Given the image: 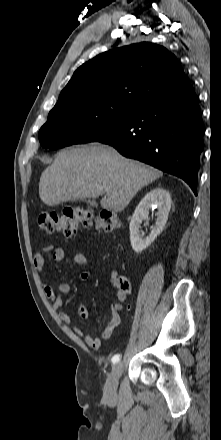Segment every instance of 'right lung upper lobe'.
<instances>
[{
  "mask_svg": "<svg viewBox=\"0 0 221 440\" xmlns=\"http://www.w3.org/2000/svg\"><path fill=\"white\" fill-rule=\"evenodd\" d=\"M188 85L178 60L166 48L137 43L104 52L80 66L53 109L107 102L137 108Z\"/></svg>",
  "mask_w": 221,
  "mask_h": 440,
  "instance_id": "1",
  "label": "right lung upper lobe"
}]
</instances>
